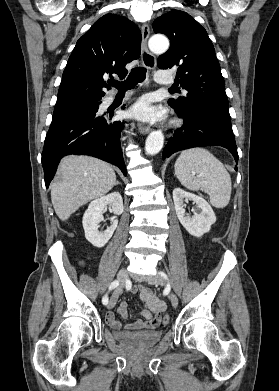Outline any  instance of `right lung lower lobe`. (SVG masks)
Returning a JSON list of instances; mask_svg holds the SVG:
<instances>
[{
	"label": "right lung lower lobe",
	"mask_w": 279,
	"mask_h": 391,
	"mask_svg": "<svg viewBox=\"0 0 279 391\" xmlns=\"http://www.w3.org/2000/svg\"><path fill=\"white\" fill-rule=\"evenodd\" d=\"M99 105L100 101L54 110L42 153L46 188L60 159L68 154L100 158L127 174L120 145L123 123L112 121L113 113L99 114Z\"/></svg>",
	"instance_id": "obj_1"
}]
</instances>
